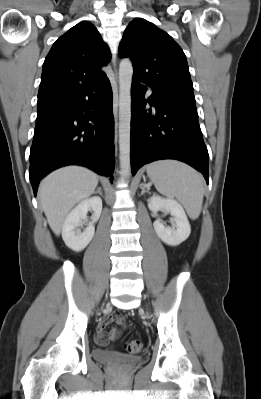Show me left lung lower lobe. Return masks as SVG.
Wrapping results in <instances>:
<instances>
[{
    "label": "left lung lower lobe",
    "mask_w": 261,
    "mask_h": 399,
    "mask_svg": "<svg viewBox=\"0 0 261 399\" xmlns=\"http://www.w3.org/2000/svg\"><path fill=\"white\" fill-rule=\"evenodd\" d=\"M132 80L131 169L135 175L143 165L161 159L183 161L200 171L208 184V151L198 123L195 98L153 91ZM149 103L156 111L146 110Z\"/></svg>",
    "instance_id": "0a47b994"
}]
</instances>
